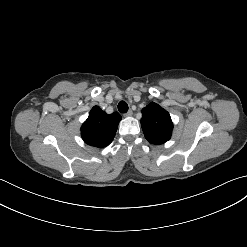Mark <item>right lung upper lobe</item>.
Masks as SVG:
<instances>
[{"instance_id":"obj_1","label":"right lung upper lobe","mask_w":247,"mask_h":247,"mask_svg":"<svg viewBox=\"0 0 247 247\" xmlns=\"http://www.w3.org/2000/svg\"><path fill=\"white\" fill-rule=\"evenodd\" d=\"M121 119L118 113L107 114L98 106H94L81 127L82 139L88 145L106 147L114 139Z\"/></svg>"}]
</instances>
